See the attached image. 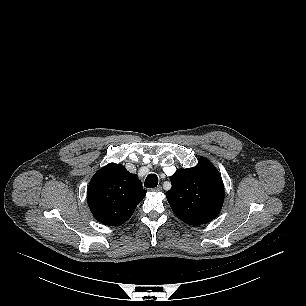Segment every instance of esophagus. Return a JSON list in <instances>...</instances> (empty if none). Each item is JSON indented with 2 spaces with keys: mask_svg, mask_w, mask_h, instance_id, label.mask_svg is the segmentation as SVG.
<instances>
[{
  "mask_svg": "<svg viewBox=\"0 0 306 306\" xmlns=\"http://www.w3.org/2000/svg\"><path fill=\"white\" fill-rule=\"evenodd\" d=\"M152 191L160 192V191H162V187L161 186H157V187L153 188Z\"/></svg>",
  "mask_w": 306,
  "mask_h": 306,
  "instance_id": "34e87169",
  "label": "esophagus"
}]
</instances>
